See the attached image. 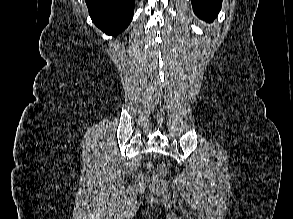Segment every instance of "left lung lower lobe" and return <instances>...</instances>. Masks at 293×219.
Returning a JSON list of instances; mask_svg holds the SVG:
<instances>
[{
  "mask_svg": "<svg viewBox=\"0 0 293 219\" xmlns=\"http://www.w3.org/2000/svg\"><path fill=\"white\" fill-rule=\"evenodd\" d=\"M195 14L207 21L211 22L218 15L222 0H191Z\"/></svg>",
  "mask_w": 293,
  "mask_h": 219,
  "instance_id": "1",
  "label": "left lung lower lobe"
}]
</instances>
